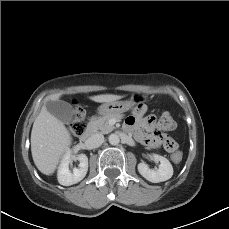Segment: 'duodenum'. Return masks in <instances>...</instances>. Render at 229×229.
I'll return each instance as SVG.
<instances>
[{
  "instance_id": "obj_1",
  "label": "duodenum",
  "mask_w": 229,
  "mask_h": 229,
  "mask_svg": "<svg viewBox=\"0 0 229 229\" xmlns=\"http://www.w3.org/2000/svg\"><path fill=\"white\" fill-rule=\"evenodd\" d=\"M93 118L90 119V122H92ZM95 132V129L90 126L86 131L85 133L80 137V140L82 142H86L89 140V138L94 134Z\"/></svg>"
}]
</instances>
